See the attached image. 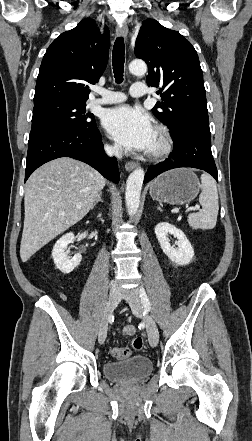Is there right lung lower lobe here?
<instances>
[{"mask_svg":"<svg viewBox=\"0 0 252 441\" xmlns=\"http://www.w3.org/2000/svg\"><path fill=\"white\" fill-rule=\"evenodd\" d=\"M102 137L95 123L86 128L41 127L31 129L28 141L25 181L42 164L59 158L71 157L83 161L105 178L119 182L115 158L104 153Z\"/></svg>","mask_w":252,"mask_h":441,"instance_id":"98d812e1","label":"right lung lower lobe"}]
</instances>
